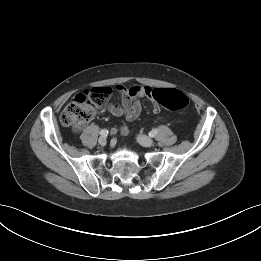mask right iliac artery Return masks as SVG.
Segmentation results:
<instances>
[{
	"mask_svg": "<svg viewBox=\"0 0 261 261\" xmlns=\"http://www.w3.org/2000/svg\"><path fill=\"white\" fill-rule=\"evenodd\" d=\"M107 134H108V130H106V129H102V130L100 131V135H101V136H107Z\"/></svg>",
	"mask_w": 261,
	"mask_h": 261,
	"instance_id": "obj_1",
	"label": "right iliac artery"
}]
</instances>
